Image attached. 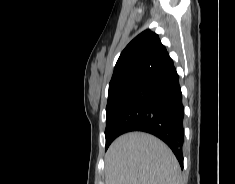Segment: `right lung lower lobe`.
Returning <instances> with one entry per match:
<instances>
[{
	"label": "right lung lower lobe",
	"mask_w": 235,
	"mask_h": 184,
	"mask_svg": "<svg viewBox=\"0 0 235 184\" xmlns=\"http://www.w3.org/2000/svg\"><path fill=\"white\" fill-rule=\"evenodd\" d=\"M184 108L179 76L168 57L126 93L110 123L116 138L143 131L164 141L183 168Z\"/></svg>",
	"instance_id": "98d812e1"
}]
</instances>
